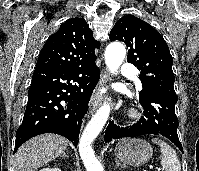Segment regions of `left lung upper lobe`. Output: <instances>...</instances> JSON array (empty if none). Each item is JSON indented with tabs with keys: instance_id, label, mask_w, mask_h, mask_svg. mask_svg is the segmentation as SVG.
<instances>
[{
	"instance_id": "5c2ea615",
	"label": "left lung upper lobe",
	"mask_w": 199,
	"mask_h": 171,
	"mask_svg": "<svg viewBox=\"0 0 199 171\" xmlns=\"http://www.w3.org/2000/svg\"><path fill=\"white\" fill-rule=\"evenodd\" d=\"M110 40L123 41L129 47L127 62L141 71L142 90H157L177 98L168 45L150 24L133 15H125L111 30Z\"/></svg>"
}]
</instances>
